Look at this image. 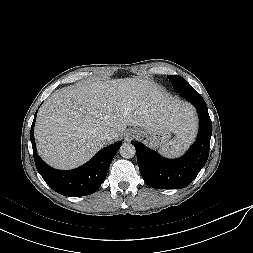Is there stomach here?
Returning <instances> with one entry per match:
<instances>
[{
	"mask_svg": "<svg viewBox=\"0 0 253 253\" xmlns=\"http://www.w3.org/2000/svg\"><path fill=\"white\" fill-rule=\"evenodd\" d=\"M139 137L145 138V142L153 148H159L165 144L170 136L171 132L166 128L159 127L153 130H140L138 129Z\"/></svg>",
	"mask_w": 253,
	"mask_h": 253,
	"instance_id": "0dacf381",
	"label": "stomach"
}]
</instances>
